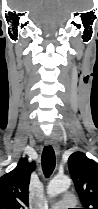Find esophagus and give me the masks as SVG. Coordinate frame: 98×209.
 <instances>
[{
  "label": "esophagus",
  "instance_id": "1",
  "mask_svg": "<svg viewBox=\"0 0 98 209\" xmlns=\"http://www.w3.org/2000/svg\"><path fill=\"white\" fill-rule=\"evenodd\" d=\"M45 143H46L47 146H53V148L55 150V153L57 155H59V153H60L59 146L55 143L52 136L47 137Z\"/></svg>",
  "mask_w": 98,
  "mask_h": 209
}]
</instances>
